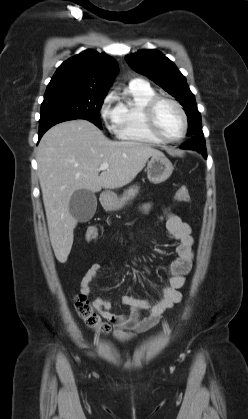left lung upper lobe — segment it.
<instances>
[{"label": "left lung upper lobe", "instance_id": "left-lung-upper-lobe-1", "mask_svg": "<svg viewBox=\"0 0 248 419\" xmlns=\"http://www.w3.org/2000/svg\"><path fill=\"white\" fill-rule=\"evenodd\" d=\"M125 59L134 71L153 80L182 104L188 120V135L202 137L201 114L195 97L175 64L155 49L141 50Z\"/></svg>", "mask_w": 248, "mask_h": 419}]
</instances>
